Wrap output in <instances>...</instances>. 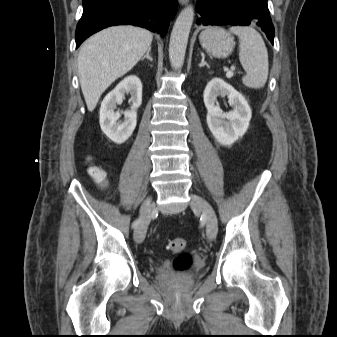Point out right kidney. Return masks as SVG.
Returning a JSON list of instances; mask_svg holds the SVG:
<instances>
[{"mask_svg": "<svg viewBox=\"0 0 337 337\" xmlns=\"http://www.w3.org/2000/svg\"><path fill=\"white\" fill-rule=\"evenodd\" d=\"M130 94L131 109L115 112L116 104L122 103L125 94ZM142 103V83L137 76L124 78L106 95L100 108V126L106 136L117 144L124 143L133 133L137 124V109ZM121 113L124 120L119 121Z\"/></svg>", "mask_w": 337, "mask_h": 337, "instance_id": "obj_1", "label": "right kidney"}]
</instances>
